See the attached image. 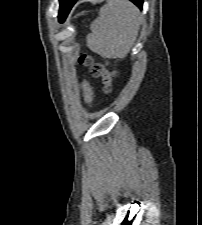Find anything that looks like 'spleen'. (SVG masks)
Returning a JSON list of instances; mask_svg holds the SVG:
<instances>
[{
	"instance_id": "obj_1",
	"label": "spleen",
	"mask_w": 202,
	"mask_h": 225,
	"mask_svg": "<svg viewBox=\"0 0 202 225\" xmlns=\"http://www.w3.org/2000/svg\"><path fill=\"white\" fill-rule=\"evenodd\" d=\"M141 21L139 10L128 0H107L91 24L87 45L102 57L123 59L136 41Z\"/></svg>"
}]
</instances>
